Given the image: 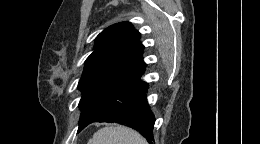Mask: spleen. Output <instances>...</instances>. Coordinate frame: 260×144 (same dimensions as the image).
Listing matches in <instances>:
<instances>
[{
	"label": "spleen",
	"mask_w": 260,
	"mask_h": 144,
	"mask_svg": "<svg viewBox=\"0 0 260 144\" xmlns=\"http://www.w3.org/2000/svg\"><path fill=\"white\" fill-rule=\"evenodd\" d=\"M88 144H147V141L136 131L118 125L99 129Z\"/></svg>",
	"instance_id": "1"
}]
</instances>
